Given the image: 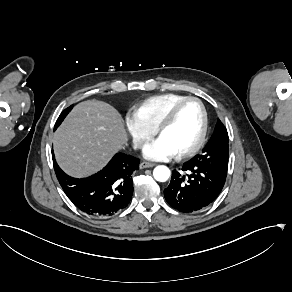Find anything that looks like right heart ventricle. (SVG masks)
I'll use <instances>...</instances> for the list:
<instances>
[{
  "instance_id": "right-heart-ventricle-1",
  "label": "right heart ventricle",
  "mask_w": 292,
  "mask_h": 292,
  "mask_svg": "<svg viewBox=\"0 0 292 292\" xmlns=\"http://www.w3.org/2000/svg\"><path fill=\"white\" fill-rule=\"evenodd\" d=\"M186 95L168 92L148 97L131 107L132 113L147 127L155 129L166 110Z\"/></svg>"
}]
</instances>
